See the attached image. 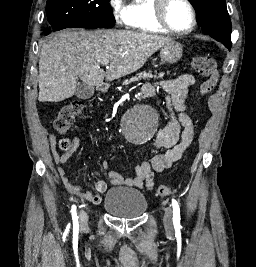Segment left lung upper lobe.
<instances>
[{
    "mask_svg": "<svg viewBox=\"0 0 256 267\" xmlns=\"http://www.w3.org/2000/svg\"><path fill=\"white\" fill-rule=\"evenodd\" d=\"M196 10L198 24L211 37L231 49V21L225 0H189Z\"/></svg>",
    "mask_w": 256,
    "mask_h": 267,
    "instance_id": "obj_1",
    "label": "left lung upper lobe"
}]
</instances>
